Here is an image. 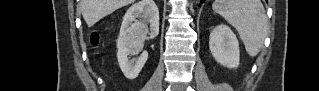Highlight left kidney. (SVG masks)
I'll return each mask as SVG.
<instances>
[{
	"instance_id": "obj_1",
	"label": "left kidney",
	"mask_w": 319,
	"mask_h": 91,
	"mask_svg": "<svg viewBox=\"0 0 319 91\" xmlns=\"http://www.w3.org/2000/svg\"><path fill=\"white\" fill-rule=\"evenodd\" d=\"M209 48L215 60L228 68H237L240 61L236 35L225 24L216 26L210 33Z\"/></svg>"
}]
</instances>
